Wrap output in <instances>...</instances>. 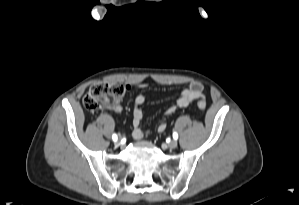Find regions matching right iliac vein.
Wrapping results in <instances>:
<instances>
[{"instance_id":"1","label":"right iliac vein","mask_w":299,"mask_h":205,"mask_svg":"<svg viewBox=\"0 0 299 205\" xmlns=\"http://www.w3.org/2000/svg\"><path fill=\"white\" fill-rule=\"evenodd\" d=\"M116 144H119V142H118V141H116Z\"/></svg>"}]
</instances>
